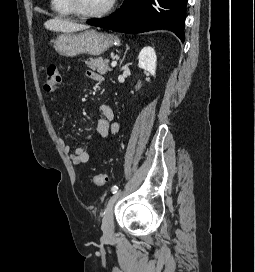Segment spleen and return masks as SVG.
<instances>
[{
  "instance_id": "spleen-1",
  "label": "spleen",
  "mask_w": 255,
  "mask_h": 272,
  "mask_svg": "<svg viewBox=\"0 0 255 272\" xmlns=\"http://www.w3.org/2000/svg\"><path fill=\"white\" fill-rule=\"evenodd\" d=\"M115 41H116V42H118V43H120L119 39H118V38H116V37H115Z\"/></svg>"
}]
</instances>
